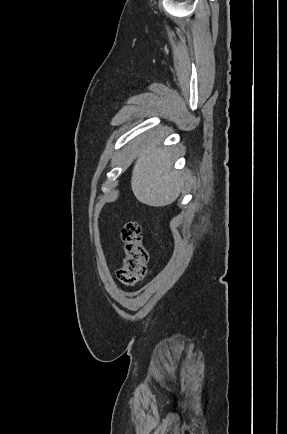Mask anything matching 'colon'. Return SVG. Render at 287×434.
<instances>
[{
  "mask_svg": "<svg viewBox=\"0 0 287 434\" xmlns=\"http://www.w3.org/2000/svg\"><path fill=\"white\" fill-rule=\"evenodd\" d=\"M123 242V258L118 270L119 281L131 286L143 278L147 273L149 253L141 226L136 221L124 224L121 231Z\"/></svg>",
  "mask_w": 287,
  "mask_h": 434,
  "instance_id": "colon-1",
  "label": "colon"
}]
</instances>
